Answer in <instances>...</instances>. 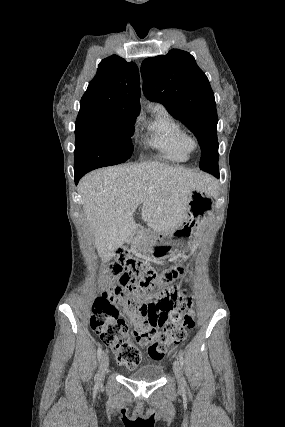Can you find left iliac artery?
Segmentation results:
<instances>
[{"instance_id":"obj_1","label":"left iliac artery","mask_w":285,"mask_h":427,"mask_svg":"<svg viewBox=\"0 0 285 427\" xmlns=\"http://www.w3.org/2000/svg\"><path fill=\"white\" fill-rule=\"evenodd\" d=\"M179 362H180L181 367H183V365H184V358H183V353L182 352H179ZM182 384L183 385L186 384V381H185L184 377H182Z\"/></svg>"}]
</instances>
